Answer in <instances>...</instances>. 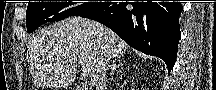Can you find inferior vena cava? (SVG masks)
<instances>
[{
	"label": "inferior vena cava",
	"mask_w": 216,
	"mask_h": 90,
	"mask_svg": "<svg viewBox=\"0 0 216 90\" xmlns=\"http://www.w3.org/2000/svg\"><path fill=\"white\" fill-rule=\"evenodd\" d=\"M108 62L109 60H103L97 68L98 82L96 84V90H106Z\"/></svg>",
	"instance_id": "obj_1"
}]
</instances>
